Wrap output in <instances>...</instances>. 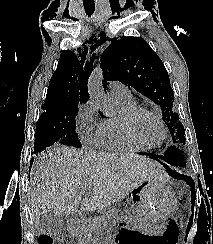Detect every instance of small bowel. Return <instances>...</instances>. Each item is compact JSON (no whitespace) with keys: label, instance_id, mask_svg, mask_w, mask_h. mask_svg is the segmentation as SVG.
I'll use <instances>...</instances> for the list:
<instances>
[{"label":"small bowel","instance_id":"c3829d8e","mask_svg":"<svg viewBox=\"0 0 213 244\" xmlns=\"http://www.w3.org/2000/svg\"><path fill=\"white\" fill-rule=\"evenodd\" d=\"M117 244H121V242H117Z\"/></svg>","mask_w":213,"mask_h":244}]
</instances>
